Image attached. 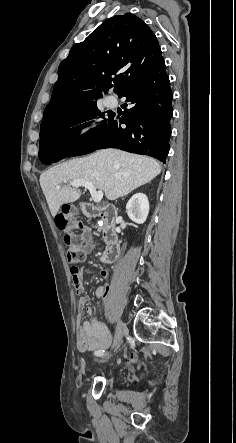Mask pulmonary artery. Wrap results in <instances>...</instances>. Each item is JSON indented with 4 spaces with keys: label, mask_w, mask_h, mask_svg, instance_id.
I'll list each match as a JSON object with an SVG mask.
<instances>
[{
    "label": "pulmonary artery",
    "mask_w": 236,
    "mask_h": 443,
    "mask_svg": "<svg viewBox=\"0 0 236 443\" xmlns=\"http://www.w3.org/2000/svg\"><path fill=\"white\" fill-rule=\"evenodd\" d=\"M104 104L107 108H115L117 106L118 102L114 96H108L105 98Z\"/></svg>",
    "instance_id": "e3ab8cb5"
}]
</instances>
